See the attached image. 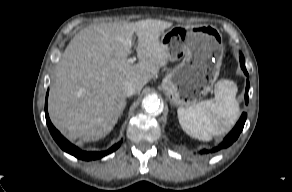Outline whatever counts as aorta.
I'll return each instance as SVG.
<instances>
[{
    "mask_svg": "<svg viewBox=\"0 0 292 192\" xmlns=\"http://www.w3.org/2000/svg\"><path fill=\"white\" fill-rule=\"evenodd\" d=\"M142 107L151 115H159L163 110L160 99L155 95L145 96L142 100Z\"/></svg>",
    "mask_w": 292,
    "mask_h": 192,
    "instance_id": "762f6f07",
    "label": "aorta"
}]
</instances>
